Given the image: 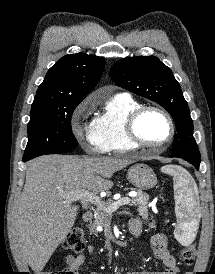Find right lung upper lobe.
Masks as SVG:
<instances>
[{
	"label": "right lung upper lobe",
	"instance_id": "obj_1",
	"mask_svg": "<svg viewBox=\"0 0 215 274\" xmlns=\"http://www.w3.org/2000/svg\"><path fill=\"white\" fill-rule=\"evenodd\" d=\"M105 66L103 58L69 54L47 72L33 103L81 102L95 87Z\"/></svg>",
	"mask_w": 215,
	"mask_h": 274
}]
</instances>
